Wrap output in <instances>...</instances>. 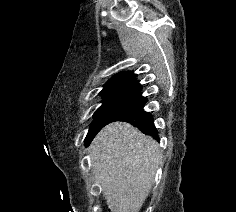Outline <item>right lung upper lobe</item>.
Segmentation results:
<instances>
[{"instance_id": "obj_1", "label": "right lung upper lobe", "mask_w": 236, "mask_h": 212, "mask_svg": "<svg viewBox=\"0 0 236 212\" xmlns=\"http://www.w3.org/2000/svg\"><path fill=\"white\" fill-rule=\"evenodd\" d=\"M138 84L139 81L133 71H124L110 78L100 94L103 96L118 92H130Z\"/></svg>"}]
</instances>
